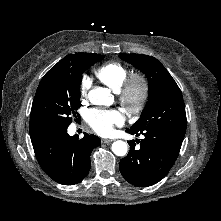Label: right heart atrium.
<instances>
[{
  "label": "right heart atrium",
  "mask_w": 221,
  "mask_h": 221,
  "mask_svg": "<svg viewBox=\"0 0 221 221\" xmlns=\"http://www.w3.org/2000/svg\"><path fill=\"white\" fill-rule=\"evenodd\" d=\"M91 86V81L88 77H83L80 84V93L82 97H86L88 94V91Z\"/></svg>",
  "instance_id": "1"
}]
</instances>
